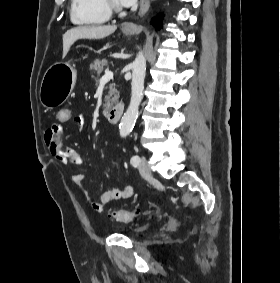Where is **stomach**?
Instances as JSON below:
<instances>
[{"label": "stomach", "instance_id": "0dacf381", "mask_svg": "<svg viewBox=\"0 0 280 283\" xmlns=\"http://www.w3.org/2000/svg\"><path fill=\"white\" fill-rule=\"evenodd\" d=\"M124 34L133 35L135 29H123ZM76 70L66 62H57L45 72L39 92L41 104L53 108L63 104L70 96L75 83Z\"/></svg>", "mask_w": 280, "mask_h": 283}]
</instances>
